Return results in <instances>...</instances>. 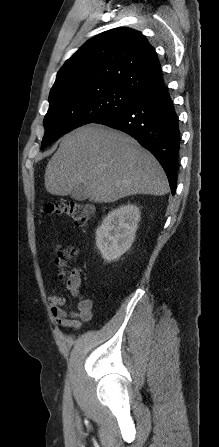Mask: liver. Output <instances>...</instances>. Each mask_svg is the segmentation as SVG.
I'll return each mask as SVG.
<instances>
[{
  "mask_svg": "<svg viewBox=\"0 0 219 447\" xmlns=\"http://www.w3.org/2000/svg\"><path fill=\"white\" fill-rule=\"evenodd\" d=\"M81 184L94 203L169 191L166 174L149 151L125 133L97 124L64 135L46 167L45 188L52 195H69Z\"/></svg>",
  "mask_w": 219,
  "mask_h": 447,
  "instance_id": "6515ba94",
  "label": "liver"
}]
</instances>
